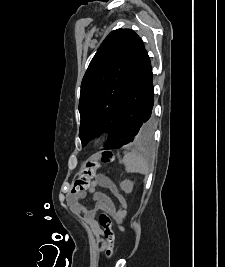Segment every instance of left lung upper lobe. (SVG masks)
<instances>
[{"label": "left lung upper lobe", "mask_w": 225, "mask_h": 267, "mask_svg": "<svg viewBox=\"0 0 225 267\" xmlns=\"http://www.w3.org/2000/svg\"><path fill=\"white\" fill-rule=\"evenodd\" d=\"M144 50L142 39L130 29L112 31L102 42L83 77L79 101L82 146L109 130L105 146L118 127L123 102L133 73ZM152 136V135H151ZM144 124L132 144H145Z\"/></svg>", "instance_id": "5c2ea615"}]
</instances>
